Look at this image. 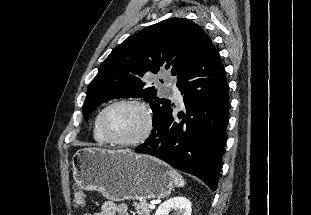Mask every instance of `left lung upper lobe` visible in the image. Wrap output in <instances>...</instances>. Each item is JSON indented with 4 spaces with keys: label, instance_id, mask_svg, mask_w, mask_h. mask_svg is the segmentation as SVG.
Here are the masks:
<instances>
[{
    "label": "left lung upper lobe",
    "instance_id": "obj_1",
    "mask_svg": "<svg viewBox=\"0 0 311 215\" xmlns=\"http://www.w3.org/2000/svg\"><path fill=\"white\" fill-rule=\"evenodd\" d=\"M205 31L186 18H170L128 37L102 62L83 104L87 121L92 111L115 98H143L153 116L169 100L158 98L153 74L170 69L177 76L199 50Z\"/></svg>",
    "mask_w": 311,
    "mask_h": 215
}]
</instances>
